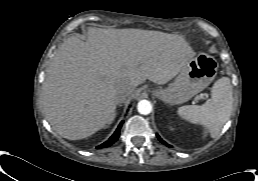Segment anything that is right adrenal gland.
<instances>
[{
    "instance_id": "2a0ac1e0",
    "label": "right adrenal gland",
    "mask_w": 258,
    "mask_h": 181,
    "mask_svg": "<svg viewBox=\"0 0 258 181\" xmlns=\"http://www.w3.org/2000/svg\"><path fill=\"white\" fill-rule=\"evenodd\" d=\"M115 116H116V113H115V115H114V118H115ZM114 118L108 123V125H107L106 127H108V126L112 123V121L114 120Z\"/></svg>"
}]
</instances>
